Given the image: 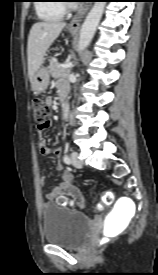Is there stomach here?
Masks as SVG:
<instances>
[{"instance_id":"1","label":"stomach","mask_w":158,"mask_h":275,"mask_svg":"<svg viewBox=\"0 0 158 275\" xmlns=\"http://www.w3.org/2000/svg\"><path fill=\"white\" fill-rule=\"evenodd\" d=\"M71 35H75L74 31H70ZM49 84V73L45 67H40L34 74L31 86L36 94L43 93Z\"/></svg>"}]
</instances>
